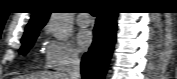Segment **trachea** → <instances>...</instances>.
I'll return each mask as SVG.
<instances>
[{"mask_svg": "<svg viewBox=\"0 0 177 79\" xmlns=\"http://www.w3.org/2000/svg\"><path fill=\"white\" fill-rule=\"evenodd\" d=\"M93 16H95L96 14L95 13H92Z\"/></svg>", "mask_w": 177, "mask_h": 79, "instance_id": "1", "label": "trachea"}]
</instances>
